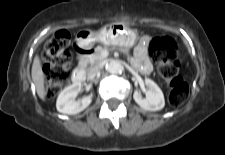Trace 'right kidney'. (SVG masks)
Here are the masks:
<instances>
[{
  "mask_svg": "<svg viewBox=\"0 0 225 155\" xmlns=\"http://www.w3.org/2000/svg\"><path fill=\"white\" fill-rule=\"evenodd\" d=\"M80 89L81 83L76 82L62 90L56 102L58 112L73 115L83 111L90 105L92 101L90 96L83 97L82 99L75 101Z\"/></svg>",
  "mask_w": 225,
  "mask_h": 155,
  "instance_id": "right-kidney-1",
  "label": "right kidney"
}]
</instances>
